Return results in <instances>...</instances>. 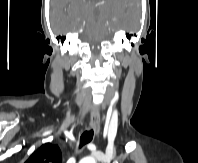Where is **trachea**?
Returning a JSON list of instances; mask_svg holds the SVG:
<instances>
[{
	"instance_id": "1",
	"label": "trachea",
	"mask_w": 198,
	"mask_h": 163,
	"mask_svg": "<svg viewBox=\"0 0 198 163\" xmlns=\"http://www.w3.org/2000/svg\"><path fill=\"white\" fill-rule=\"evenodd\" d=\"M93 130H89V131H85L81 137H80V148L86 144H88L89 142L92 141L93 139Z\"/></svg>"
}]
</instances>
